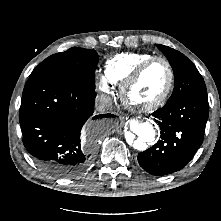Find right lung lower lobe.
<instances>
[{"instance_id": "obj_1", "label": "right lung lower lobe", "mask_w": 221, "mask_h": 221, "mask_svg": "<svg viewBox=\"0 0 221 221\" xmlns=\"http://www.w3.org/2000/svg\"><path fill=\"white\" fill-rule=\"evenodd\" d=\"M95 89L73 84L49 72L30 75L23 90L19 120L23 144L46 172L62 178L83 172L93 159L91 146L82 145L81 129H101L104 118L95 115Z\"/></svg>"}]
</instances>
